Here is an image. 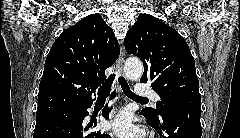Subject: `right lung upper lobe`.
<instances>
[{
  "mask_svg": "<svg viewBox=\"0 0 240 138\" xmlns=\"http://www.w3.org/2000/svg\"><path fill=\"white\" fill-rule=\"evenodd\" d=\"M113 30L100 14L66 29L52 45L39 85L37 116L93 102L105 70L119 56Z\"/></svg>",
  "mask_w": 240,
  "mask_h": 138,
  "instance_id": "1",
  "label": "right lung upper lobe"
}]
</instances>
